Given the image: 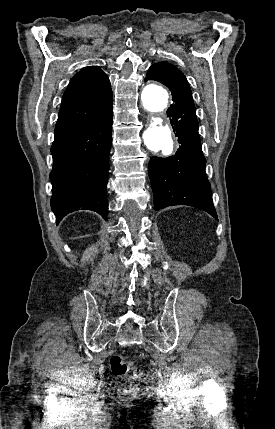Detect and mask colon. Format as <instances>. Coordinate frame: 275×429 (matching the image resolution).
<instances>
[{"label": "colon", "instance_id": "obj_1", "mask_svg": "<svg viewBox=\"0 0 275 429\" xmlns=\"http://www.w3.org/2000/svg\"><path fill=\"white\" fill-rule=\"evenodd\" d=\"M110 370L113 375L126 378L132 373V378L126 379L125 384L120 389V396L123 399H132L135 397L138 389V383L144 379L143 372L134 362L127 361L121 355H113L110 358Z\"/></svg>", "mask_w": 275, "mask_h": 429}]
</instances>
